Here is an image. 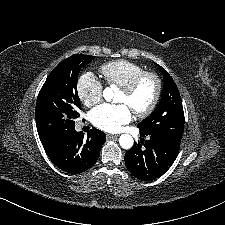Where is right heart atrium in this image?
<instances>
[{"mask_svg":"<svg viewBox=\"0 0 225 225\" xmlns=\"http://www.w3.org/2000/svg\"><path fill=\"white\" fill-rule=\"evenodd\" d=\"M76 90L80 101L91 107L101 100L103 85L92 71H85L77 80Z\"/></svg>","mask_w":225,"mask_h":225,"instance_id":"right-heart-atrium-1","label":"right heart atrium"}]
</instances>
